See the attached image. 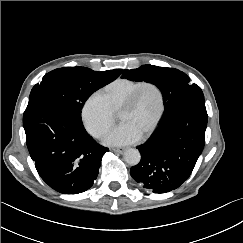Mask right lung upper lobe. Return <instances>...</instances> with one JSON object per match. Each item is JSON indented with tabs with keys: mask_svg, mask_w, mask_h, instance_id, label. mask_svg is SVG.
<instances>
[{
	"mask_svg": "<svg viewBox=\"0 0 243 243\" xmlns=\"http://www.w3.org/2000/svg\"><path fill=\"white\" fill-rule=\"evenodd\" d=\"M114 71L118 76L121 74V69H115V70H112Z\"/></svg>",
	"mask_w": 243,
	"mask_h": 243,
	"instance_id": "obj_1",
	"label": "right lung upper lobe"
}]
</instances>
